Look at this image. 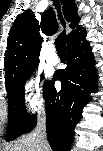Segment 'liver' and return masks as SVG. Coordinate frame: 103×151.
<instances>
[{"label":"liver","instance_id":"1","mask_svg":"<svg viewBox=\"0 0 103 151\" xmlns=\"http://www.w3.org/2000/svg\"><path fill=\"white\" fill-rule=\"evenodd\" d=\"M4 151H49L48 143L37 132L23 136L20 140L7 146Z\"/></svg>","mask_w":103,"mask_h":151}]
</instances>
